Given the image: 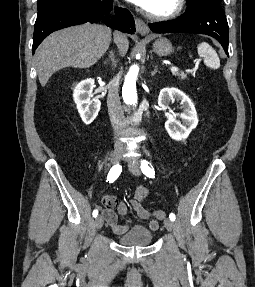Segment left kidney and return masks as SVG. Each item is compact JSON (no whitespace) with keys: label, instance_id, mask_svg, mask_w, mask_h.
Segmentation results:
<instances>
[{"label":"left kidney","instance_id":"1","mask_svg":"<svg viewBox=\"0 0 255 287\" xmlns=\"http://www.w3.org/2000/svg\"><path fill=\"white\" fill-rule=\"evenodd\" d=\"M173 100H181L183 114H170V112H167L169 104ZM158 104L165 112L167 118L165 128L170 138L172 140H184V138H188L191 130H194L198 124L197 112L190 98L184 92L178 90V88H163L159 94ZM176 116L181 118L182 124L179 120H176Z\"/></svg>","mask_w":255,"mask_h":287}]
</instances>
